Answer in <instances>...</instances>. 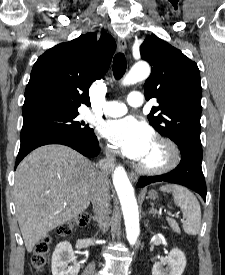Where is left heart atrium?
Listing matches in <instances>:
<instances>
[{
  "label": "left heart atrium",
  "instance_id": "left-heart-atrium-1",
  "mask_svg": "<svg viewBox=\"0 0 225 275\" xmlns=\"http://www.w3.org/2000/svg\"><path fill=\"white\" fill-rule=\"evenodd\" d=\"M102 134L125 156L141 161L154 141L150 127L132 116L107 121Z\"/></svg>",
  "mask_w": 225,
  "mask_h": 275
}]
</instances>
